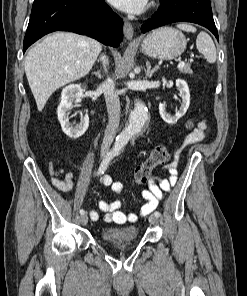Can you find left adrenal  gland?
Instances as JSON below:
<instances>
[{
	"label": "left adrenal gland",
	"instance_id": "1",
	"mask_svg": "<svg viewBox=\"0 0 247 296\" xmlns=\"http://www.w3.org/2000/svg\"><path fill=\"white\" fill-rule=\"evenodd\" d=\"M146 66H147V77L151 78L153 76V74L155 73V71H157L158 69V66H155L153 68H151V65L149 62L146 63Z\"/></svg>",
	"mask_w": 247,
	"mask_h": 296
}]
</instances>
